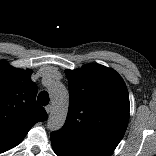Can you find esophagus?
Returning <instances> with one entry per match:
<instances>
[{"label": "esophagus", "mask_w": 156, "mask_h": 156, "mask_svg": "<svg viewBox=\"0 0 156 156\" xmlns=\"http://www.w3.org/2000/svg\"><path fill=\"white\" fill-rule=\"evenodd\" d=\"M45 110H46V112H47L48 114H50V113H51V110H52V106H51V105H47V106L45 107Z\"/></svg>", "instance_id": "1"}]
</instances>
